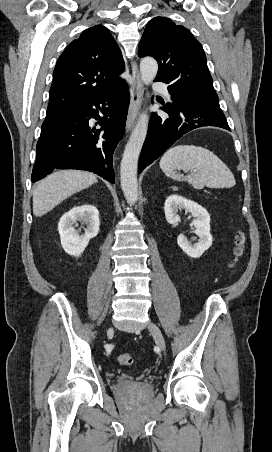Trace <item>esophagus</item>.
I'll return each mask as SVG.
<instances>
[{"label": "esophagus", "mask_w": 272, "mask_h": 452, "mask_svg": "<svg viewBox=\"0 0 272 452\" xmlns=\"http://www.w3.org/2000/svg\"><path fill=\"white\" fill-rule=\"evenodd\" d=\"M132 78L133 83L130 88V104L126 121L127 131H130L134 126L143 97V84L135 61H132Z\"/></svg>", "instance_id": "esophagus-1"}]
</instances>
